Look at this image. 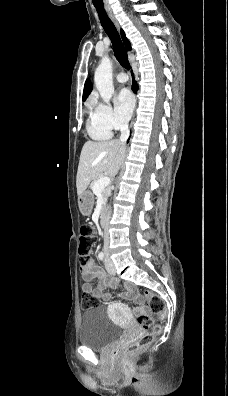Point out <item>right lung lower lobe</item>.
<instances>
[{"label":"right lung lower lobe","mask_w":228,"mask_h":396,"mask_svg":"<svg viewBox=\"0 0 228 396\" xmlns=\"http://www.w3.org/2000/svg\"><path fill=\"white\" fill-rule=\"evenodd\" d=\"M132 76H133V74H132ZM132 90H133V92H137V90H138V86H137V83L134 81V76H133V85H132Z\"/></svg>","instance_id":"1"}]
</instances>
